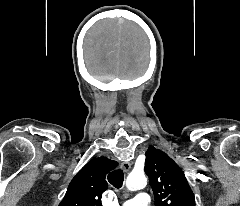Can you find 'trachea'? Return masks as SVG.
Listing matches in <instances>:
<instances>
[{"label":"trachea","mask_w":240,"mask_h":206,"mask_svg":"<svg viewBox=\"0 0 240 206\" xmlns=\"http://www.w3.org/2000/svg\"><path fill=\"white\" fill-rule=\"evenodd\" d=\"M108 181L112 184L115 188H121L124 181V173L121 169L112 171L108 175Z\"/></svg>","instance_id":"trachea-1"}]
</instances>
